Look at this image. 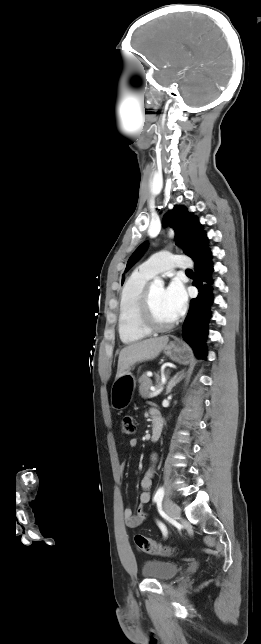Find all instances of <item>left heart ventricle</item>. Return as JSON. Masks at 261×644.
<instances>
[{
	"mask_svg": "<svg viewBox=\"0 0 261 644\" xmlns=\"http://www.w3.org/2000/svg\"><path fill=\"white\" fill-rule=\"evenodd\" d=\"M164 289L161 286H151V306L154 319L160 324H166L174 320L165 301Z\"/></svg>",
	"mask_w": 261,
	"mask_h": 644,
	"instance_id": "b2bd125f",
	"label": "left heart ventricle"
}]
</instances>
